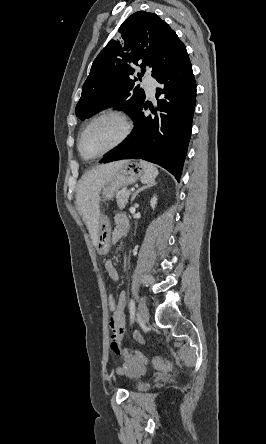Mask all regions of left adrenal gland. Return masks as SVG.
<instances>
[{"label": "left adrenal gland", "mask_w": 266, "mask_h": 444, "mask_svg": "<svg viewBox=\"0 0 266 444\" xmlns=\"http://www.w3.org/2000/svg\"><path fill=\"white\" fill-rule=\"evenodd\" d=\"M154 185H156V182L153 180V181H151L150 183H148L147 185H144V186H142L141 188H139V189L133 194V196H132V198H131V203H133L134 199L136 198V196H137L141 191H143L144 189H147V188H149V187H152V186H154Z\"/></svg>", "instance_id": "a2214340"}]
</instances>
